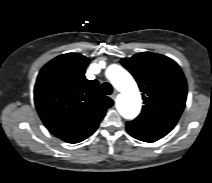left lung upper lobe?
<instances>
[{"mask_svg":"<svg viewBox=\"0 0 212 183\" xmlns=\"http://www.w3.org/2000/svg\"><path fill=\"white\" fill-rule=\"evenodd\" d=\"M143 92L142 113L126 127L168 134L176 125L186 102L187 84L178 64L169 57L142 52L122 58Z\"/></svg>","mask_w":212,"mask_h":183,"instance_id":"1","label":"left lung upper lobe"}]
</instances>
